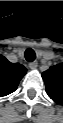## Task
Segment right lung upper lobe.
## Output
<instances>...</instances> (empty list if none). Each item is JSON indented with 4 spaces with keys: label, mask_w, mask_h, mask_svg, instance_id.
<instances>
[{
    "label": "right lung upper lobe",
    "mask_w": 63,
    "mask_h": 123,
    "mask_svg": "<svg viewBox=\"0 0 63 123\" xmlns=\"http://www.w3.org/2000/svg\"><path fill=\"white\" fill-rule=\"evenodd\" d=\"M0 64V96H6L17 89L27 69L21 64H14L2 57Z\"/></svg>",
    "instance_id": "1"
}]
</instances>
